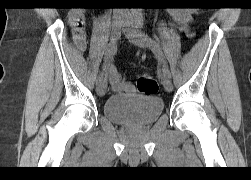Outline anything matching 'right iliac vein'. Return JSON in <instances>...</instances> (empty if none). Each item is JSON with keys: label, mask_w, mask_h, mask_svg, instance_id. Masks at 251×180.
Wrapping results in <instances>:
<instances>
[{"label": "right iliac vein", "mask_w": 251, "mask_h": 180, "mask_svg": "<svg viewBox=\"0 0 251 180\" xmlns=\"http://www.w3.org/2000/svg\"><path fill=\"white\" fill-rule=\"evenodd\" d=\"M122 26L123 24L121 22H116L113 25L112 31H111V43L112 44H115L119 40L121 36V32H122ZM106 89H107V79L104 78L99 84H97V94L99 96H104L106 93Z\"/></svg>", "instance_id": "right-iliac-vein-1"}]
</instances>
